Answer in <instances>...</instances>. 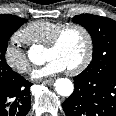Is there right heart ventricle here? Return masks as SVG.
I'll return each mask as SVG.
<instances>
[{
	"instance_id": "1",
	"label": "right heart ventricle",
	"mask_w": 116,
	"mask_h": 116,
	"mask_svg": "<svg viewBox=\"0 0 116 116\" xmlns=\"http://www.w3.org/2000/svg\"><path fill=\"white\" fill-rule=\"evenodd\" d=\"M64 24L59 21L38 20L25 26L18 34L29 45L46 46L54 33Z\"/></svg>"
}]
</instances>
